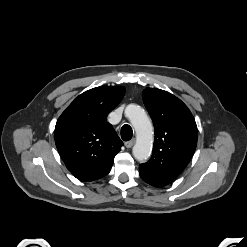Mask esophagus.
I'll list each match as a JSON object with an SVG mask.
<instances>
[{
    "label": "esophagus",
    "instance_id": "34e87169",
    "mask_svg": "<svg viewBox=\"0 0 247 247\" xmlns=\"http://www.w3.org/2000/svg\"><path fill=\"white\" fill-rule=\"evenodd\" d=\"M134 143H135V140L132 139L130 141L125 142V146L126 148H131L134 145Z\"/></svg>",
    "mask_w": 247,
    "mask_h": 247
}]
</instances>
